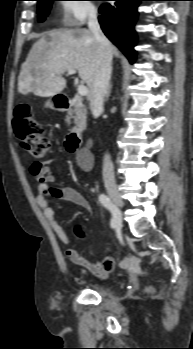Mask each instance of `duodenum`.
Listing matches in <instances>:
<instances>
[{
  "label": "duodenum",
  "instance_id": "duodenum-1",
  "mask_svg": "<svg viewBox=\"0 0 193 349\" xmlns=\"http://www.w3.org/2000/svg\"><path fill=\"white\" fill-rule=\"evenodd\" d=\"M56 106L61 111H67L74 108V102L72 98L65 96H57L55 98ZM82 139V133L80 131L70 132L65 139V147L70 153H77L80 148Z\"/></svg>",
  "mask_w": 193,
  "mask_h": 349
}]
</instances>
